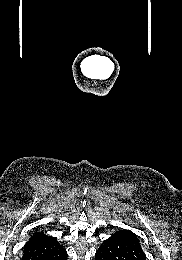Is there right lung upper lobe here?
I'll return each instance as SVG.
<instances>
[{
	"label": "right lung upper lobe",
	"instance_id": "1",
	"mask_svg": "<svg viewBox=\"0 0 182 260\" xmlns=\"http://www.w3.org/2000/svg\"><path fill=\"white\" fill-rule=\"evenodd\" d=\"M54 240H56V238L48 237V236L44 235L43 232H36L29 239V241L26 243L24 248H27V247L32 246V245H37V244L49 242V241H54Z\"/></svg>",
	"mask_w": 182,
	"mask_h": 260
}]
</instances>
